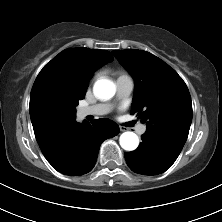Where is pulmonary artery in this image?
Masks as SVG:
<instances>
[{"mask_svg": "<svg viewBox=\"0 0 222 222\" xmlns=\"http://www.w3.org/2000/svg\"><path fill=\"white\" fill-rule=\"evenodd\" d=\"M116 85H117L116 98L118 100H122L128 97L132 92L134 88V81L130 76L123 75L117 78ZM111 109L112 105L110 103H100L80 108L78 114L80 117H86L88 115L99 116L109 113ZM145 131H146L145 125H139L137 127V132L139 134H143L145 133Z\"/></svg>", "mask_w": 222, "mask_h": 222, "instance_id": "obj_1", "label": "pulmonary artery"}]
</instances>
